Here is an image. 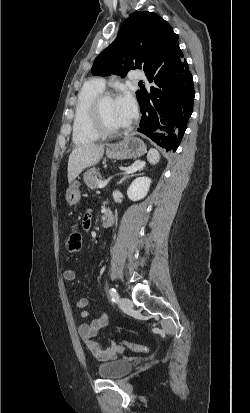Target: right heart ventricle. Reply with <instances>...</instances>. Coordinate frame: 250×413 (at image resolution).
Wrapping results in <instances>:
<instances>
[{"instance_id": "right-heart-ventricle-1", "label": "right heart ventricle", "mask_w": 250, "mask_h": 413, "mask_svg": "<svg viewBox=\"0 0 250 413\" xmlns=\"http://www.w3.org/2000/svg\"><path fill=\"white\" fill-rule=\"evenodd\" d=\"M103 89L95 81H90L85 83L78 93L72 128V138L76 145L90 144L100 138L91 124L90 108L94 98Z\"/></svg>"}]
</instances>
